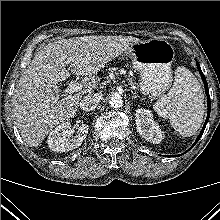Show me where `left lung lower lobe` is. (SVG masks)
Listing matches in <instances>:
<instances>
[{"instance_id":"left-lung-lower-lobe-1","label":"left lung lower lobe","mask_w":220,"mask_h":220,"mask_svg":"<svg viewBox=\"0 0 220 220\" xmlns=\"http://www.w3.org/2000/svg\"><path fill=\"white\" fill-rule=\"evenodd\" d=\"M196 63H197V68H198V70H199V72H200V75H201V77H202V80H203V82H204V87H205V91H206V95H207V102H208V113H207V118H206V120H205L204 126H203V128H202V130H201L199 136L197 137L195 143H194L186 152H188V151L199 141V139L201 138V136H202V134H203V132H204V130H205L206 124H207V122H208V119H209V116H210V109H211L208 84H207L206 78H205V76H204V74H203V72H202V70H201V68H200L199 63H198L197 61H196ZM186 152H184V153H186ZM184 153H183V154H184Z\"/></svg>"}]
</instances>
